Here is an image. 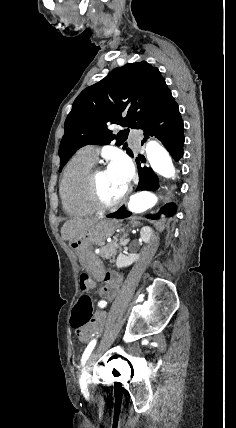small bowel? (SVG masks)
<instances>
[{"label": "small bowel", "mask_w": 236, "mask_h": 428, "mask_svg": "<svg viewBox=\"0 0 236 428\" xmlns=\"http://www.w3.org/2000/svg\"><path fill=\"white\" fill-rule=\"evenodd\" d=\"M122 283V276L116 272H109L105 277L104 287L100 290V295L102 299L98 302V312L96 313V318L98 323H103L106 314L105 307L107 304L112 301L117 295L119 288ZM98 332V326L91 324L84 329L77 332L79 339L82 342H88L92 336Z\"/></svg>", "instance_id": "obj_1"}]
</instances>
